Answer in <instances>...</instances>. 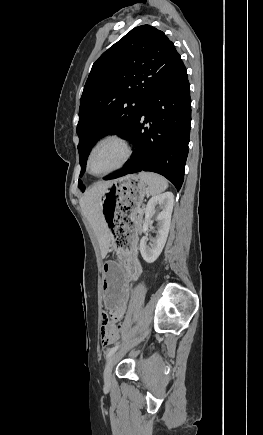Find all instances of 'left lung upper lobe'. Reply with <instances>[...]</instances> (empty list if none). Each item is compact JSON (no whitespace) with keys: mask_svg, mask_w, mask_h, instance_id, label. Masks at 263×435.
Masks as SVG:
<instances>
[{"mask_svg":"<svg viewBox=\"0 0 263 435\" xmlns=\"http://www.w3.org/2000/svg\"><path fill=\"white\" fill-rule=\"evenodd\" d=\"M180 61L174 44L150 25L133 28L96 60L80 100V176L89 152L102 136L129 137L150 95ZM78 187L85 190L81 180Z\"/></svg>","mask_w":263,"mask_h":435,"instance_id":"5c2ea615","label":"left lung upper lobe"}]
</instances>
